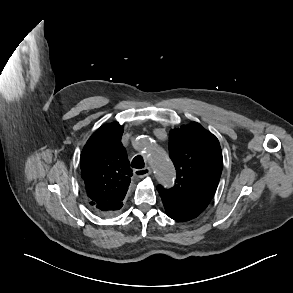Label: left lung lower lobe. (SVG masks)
Returning <instances> with one entry per match:
<instances>
[{"mask_svg":"<svg viewBox=\"0 0 293 293\" xmlns=\"http://www.w3.org/2000/svg\"><path fill=\"white\" fill-rule=\"evenodd\" d=\"M166 210L167 215L179 222H184L191 220L197 217L199 214L178 204L177 202L173 201L169 197L165 196L162 193H159Z\"/></svg>","mask_w":293,"mask_h":293,"instance_id":"0a47b994","label":"left lung lower lobe"}]
</instances>
